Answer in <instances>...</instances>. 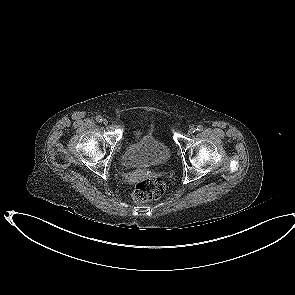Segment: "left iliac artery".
I'll return each instance as SVG.
<instances>
[{"label":"left iliac artery","mask_w":295,"mask_h":295,"mask_svg":"<svg viewBox=\"0 0 295 295\" xmlns=\"http://www.w3.org/2000/svg\"><path fill=\"white\" fill-rule=\"evenodd\" d=\"M197 131H202L203 130V126L202 125H198L196 128Z\"/></svg>","instance_id":"44dca946"}]
</instances>
